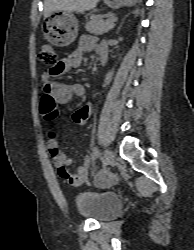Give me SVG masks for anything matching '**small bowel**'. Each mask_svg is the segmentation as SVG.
Returning <instances> with one entry per match:
<instances>
[{"label": "small bowel", "instance_id": "c3829d8e", "mask_svg": "<svg viewBox=\"0 0 194 250\" xmlns=\"http://www.w3.org/2000/svg\"><path fill=\"white\" fill-rule=\"evenodd\" d=\"M95 50L97 54H106V49L96 43L95 38L89 35H84L80 38L77 48L66 58L57 63L50 71H45L42 75L43 87L46 92L50 93L57 102L64 104L72 98H83L85 95L84 86L81 84H64V83H51L49 81L50 75L64 74L71 69L80 66L85 53ZM94 106L92 103H87L80 107L73 114V120L79 125H85L92 112ZM52 121V120H47ZM52 162L59 171L60 175L68 181L71 185L78 186L88 180V172L90 167V157L86 156L82 164L78 167L76 172L69 170L72 164V159L63 152L58 150L56 140V133L54 131L48 132L47 143ZM64 169L67 175H64L60 170Z\"/></svg>", "mask_w": 194, "mask_h": 250}]
</instances>
